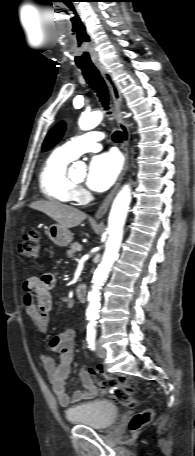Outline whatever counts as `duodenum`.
<instances>
[{
  "label": "duodenum",
  "instance_id": "obj_1",
  "mask_svg": "<svg viewBox=\"0 0 195 456\" xmlns=\"http://www.w3.org/2000/svg\"><path fill=\"white\" fill-rule=\"evenodd\" d=\"M87 287L84 284H79L76 288V296L79 301L85 302L87 300Z\"/></svg>",
  "mask_w": 195,
  "mask_h": 456
}]
</instances>
